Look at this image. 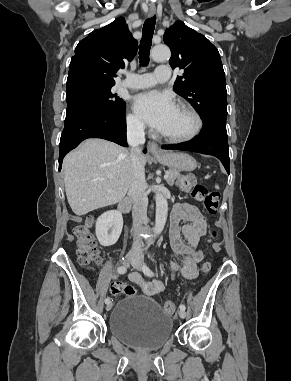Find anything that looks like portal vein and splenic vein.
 <instances>
[{
	"label": "portal vein and splenic vein",
	"mask_w": 291,
	"mask_h": 381,
	"mask_svg": "<svg viewBox=\"0 0 291 381\" xmlns=\"http://www.w3.org/2000/svg\"><path fill=\"white\" fill-rule=\"evenodd\" d=\"M168 177H169V175H168V173H166L165 175H164V179H168Z\"/></svg>",
	"instance_id": "18ae733b"
}]
</instances>
